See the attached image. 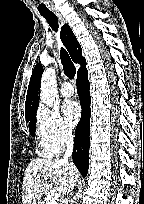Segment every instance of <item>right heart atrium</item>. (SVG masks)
Instances as JSON below:
<instances>
[{"mask_svg": "<svg viewBox=\"0 0 144 204\" xmlns=\"http://www.w3.org/2000/svg\"><path fill=\"white\" fill-rule=\"evenodd\" d=\"M36 120L41 143L53 152H61L73 139L72 129L56 110L41 107Z\"/></svg>", "mask_w": 144, "mask_h": 204, "instance_id": "d8ad5b80", "label": "right heart atrium"}]
</instances>
